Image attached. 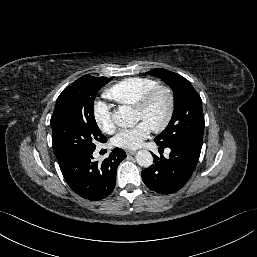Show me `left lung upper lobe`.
I'll use <instances>...</instances> for the list:
<instances>
[{
    "label": "left lung upper lobe",
    "mask_w": 257,
    "mask_h": 257,
    "mask_svg": "<svg viewBox=\"0 0 257 257\" xmlns=\"http://www.w3.org/2000/svg\"><path fill=\"white\" fill-rule=\"evenodd\" d=\"M148 74L161 78L174 92L172 118L165 130L154 139L156 144L182 143L201 148L205 122L199 94L179 74L162 68L153 69Z\"/></svg>",
    "instance_id": "1"
}]
</instances>
